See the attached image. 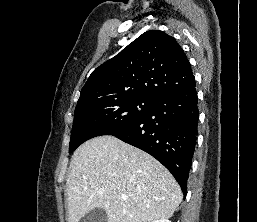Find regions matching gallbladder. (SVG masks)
I'll use <instances>...</instances> for the list:
<instances>
[{
	"instance_id": "gallbladder-1",
	"label": "gallbladder",
	"mask_w": 257,
	"mask_h": 222,
	"mask_svg": "<svg viewBox=\"0 0 257 222\" xmlns=\"http://www.w3.org/2000/svg\"><path fill=\"white\" fill-rule=\"evenodd\" d=\"M80 222H108L107 213L102 208H95L82 217Z\"/></svg>"
}]
</instances>
